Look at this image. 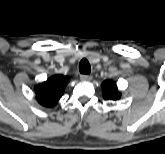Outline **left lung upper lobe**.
<instances>
[{
    "mask_svg": "<svg viewBox=\"0 0 165 154\" xmlns=\"http://www.w3.org/2000/svg\"><path fill=\"white\" fill-rule=\"evenodd\" d=\"M103 87V98L105 100H118L121 97V93L118 92L117 85L115 82L106 80L102 84Z\"/></svg>",
    "mask_w": 165,
    "mask_h": 154,
    "instance_id": "1",
    "label": "left lung upper lobe"
}]
</instances>
